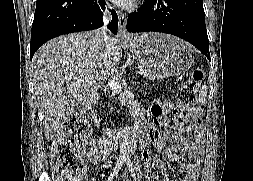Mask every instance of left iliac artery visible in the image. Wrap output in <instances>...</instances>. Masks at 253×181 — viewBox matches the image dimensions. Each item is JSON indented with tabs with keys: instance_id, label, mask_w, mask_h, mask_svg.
I'll return each instance as SVG.
<instances>
[{
	"instance_id": "44dca946",
	"label": "left iliac artery",
	"mask_w": 253,
	"mask_h": 181,
	"mask_svg": "<svg viewBox=\"0 0 253 181\" xmlns=\"http://www.w3.org/2000/svg\"><path fill=\"white\" fill-rule=\"evenodd\" d=\"M126 163H127V166L130 168L131 164H130V160H129V159L127 160V162H126ZM133 177H134V179H135V181H136L135 174H133Z\"/></svg>"
}]
</instances>
